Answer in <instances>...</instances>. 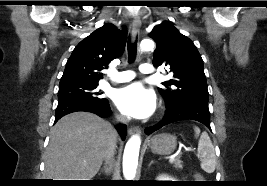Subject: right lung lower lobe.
Returning a JSON list of instances; mask_svg holds the SVG:
<instances>
[{
    "instance_id": "obj_1",
    "label": "right lung lower lobe",
    "mask_w": 267,
    "mask_h": 186,
    "mask_svg": "<svg viewBox=\"0 0 267 186\" xmlns=\"http://www.w3.org/2000/svg\"><path fill=\"white\" fill-rule=\"evenodd\" d=\"M77 111H86L97 114L100 117L108 116L111 113V109L107 101H97L87 98H67L63 100H59L57 109L55 122H57L61 117ZM120 136L124 140L126 138V126L118 125L116 126Z\"/></svg>"
}]
</instances>
